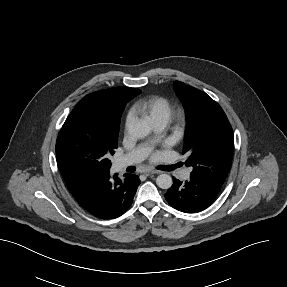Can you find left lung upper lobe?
<instances>
[{
    "mask_svg": "<svg viewBox=\"0 0 287 287\" xmlns=\"http://www.w3.org/2000/svg\"><path fill=\"white\" fill-rule=\"evenodd\" d=\"M175 87L187 118L186 166L193 167L192 175L222 186L232 162V127L220 105L205 92L179 81Z\"/></svg>",
    "mask_w": 287,
    "mask_h": 287,
    "instance_id": "obj_1",
    "label": "left lung upper lobe"
}]
</instances>
